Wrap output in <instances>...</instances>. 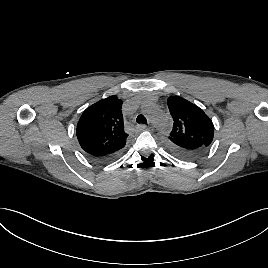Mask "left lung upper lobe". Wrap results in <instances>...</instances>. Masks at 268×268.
<instances>
[{
  "label": "left lung upper lobe",
  "instance_id": "5c2ea615",
  "mask_svg": "<svg viewBox=\"0 0 268 268\" xmlns=\"http://www.w3.org/2000/svg\"><path fill=\"white\" fill-rule=\"evenodd\" d=\"M167 102L174 121L167 141L180 144L198 142L209 148L214 137V125L204 111L181 97H169Z\"/></svg>",
  "mask_w": 268,
  "mask_h": 268
}]
</instances>
